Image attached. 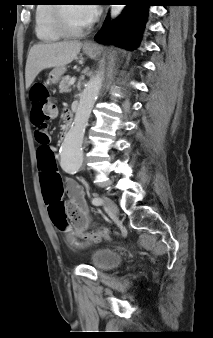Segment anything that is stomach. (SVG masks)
Wrapping results in <instances>:
<instances>
[{"label": "stomach", "mask_w": 213, "mask_h": 338, "mask_svg": "<svg viewBox=\"0 0 213 338\" xmlns=\"http://www.w3.org/2000/svg\"><path fill=\"white\" fill-rule=\"evenodd\" d=\"M83 52L89 57H95L97 55V48L91 47L88 48L86 46L83 47ZM66 68L65 66L55 67L48 76V83L49 84H56L61 79L62 75L65 73Z\"/></svg>", "instance_id": "obj_1"}]
</instances>
